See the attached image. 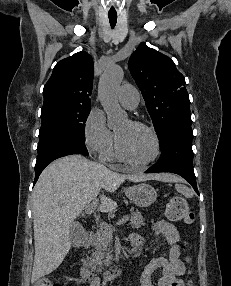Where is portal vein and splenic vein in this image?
<instances>
[{"label": "portal vein and splenic vein", "instance_id": "obj_1", "mask_svg": "<svg viewBox=\"0 0 231 286\" xmlns=\"http://www.w3.org/2000/svg\"><path fill=\"white\" fill-rule=\"evenodd\" d=\"M97 204H98V201H97V200H94L92 203H90L89 205H87V206L85 207V211H86L87 213H89V214L92 213V212L95 210ZM128 219H129V216H128V215H125L122 219H120V220L116 223V225L124 224V223H126V222L128 221ZM100 225H107V226H108V224H106V223H104V222H101ZM109 229L113 232V227H112V226H110Z\"/></svg>", "mask_w": 231, "mask_h": 286}]
</instances>
